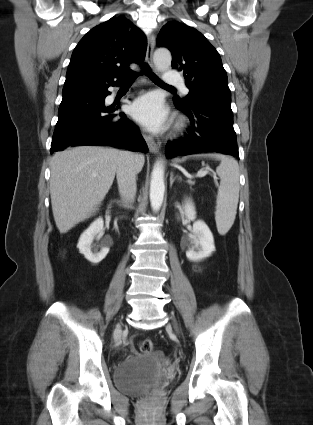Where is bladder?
I'll return each mask as SVG.
<instances>
[{"label":"bladder","mask_w":313,"mask_h":425,"mask_svg":"<svg viewBox=\"0 0 313 425\" xmlns=\"http://www.w3.org/2000/svg\"><path fill=\"white\" fill-rule=\"evenodd\" d=\"M164 362L161 352L140 354L126 358L115 369V386L118 390L141 395L162 383L160 368Z\"/></svg>","instance_id":"bladder-1"}]
</instances>
